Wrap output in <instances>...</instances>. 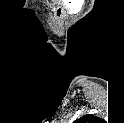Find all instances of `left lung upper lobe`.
Masks as SVG:
<instances>
[{"label": "left lung upper lobe", "mask_w": 124, "mask_h": 123, "mask_svg": "<svg viewBox=\"0 0 124 123\" xmlns=\"http://www.w3.org/2000/svg\"><path fill=\"white\" fill-rule=\"evenodd\" d=\"M93 118H94L93 115H85V116L77 119L75 122H77V123H86V122H88V120H91Z\"/></svg>", "instance_id": "left-lung-upper-lobe-1"}]
</instances>
